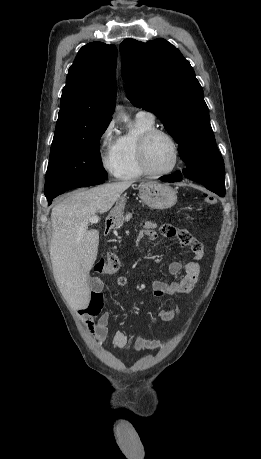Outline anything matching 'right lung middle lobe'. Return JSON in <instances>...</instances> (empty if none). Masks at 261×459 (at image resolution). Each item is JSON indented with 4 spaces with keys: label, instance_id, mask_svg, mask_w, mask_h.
I'll list each match as a JSON object with an SVG mask.
<instances>
[{
    "label": "right lung middle lobe",
    "instance_id": "obj_1",
    "mask_svg": "<svg viewBox=\"0 0 261 459\" xmlns=\"http://www.w3.org/2000/svg\"><path fill=\"white\" fill-rule=\"evenodd\" d=\"M109 122L79 133L53 138L45 177V196L53 197L85 183L107 179L99 142Z\"/></svg>",
    "mask_w": 261,
    "mask_h": 459
}]
</instances>
